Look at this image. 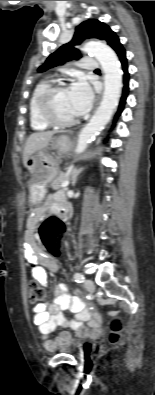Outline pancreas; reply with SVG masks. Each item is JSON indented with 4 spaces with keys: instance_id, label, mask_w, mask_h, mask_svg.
I'll list each match as a JSON object with an SVG mask.
<instances>
[{
    "instance_id": "1",
    "label": "pancreas",
    "mask_w": 155,
    "mask_h": 395,
    "mask_svg": "<svg viewBox=\"0 0 155 395\" xmlns=\"http://www.w3.org/2000/svg\"><path fill=\"white\" fill-rule=\"evenodd\" d=\"M68 177H69V175H66V174H64V173H59L57 176H55V177L50 181V187H51L53 190H57V189L60 187L61 183H62L64 180L68 179Z\"/></svg>"
}]
</instances>
